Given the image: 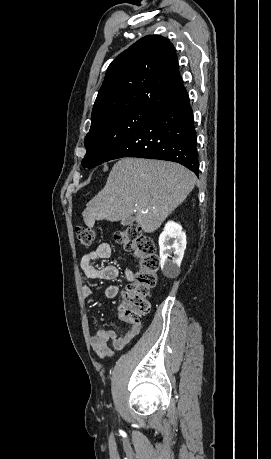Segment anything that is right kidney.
Returning a JSON list of instances; mask_svg holds the SVG:
<instances>
[{
    "mask_svg": "<svg viewBox=\"0 0 271 459\" xmlns=\"http://www.w3.org/2000/svg\"><path fill=\"white\" fill-rule=\"evenodd\" d=\"M182 229L180 224L168 222L159 235L160 265L166 277H177L180 273V263L186 247V233Z\"/></svg>",
    "mask_w": 271,
    "mask_h": 459,
    "instance_id": "1",
    "label": "right kidney"
}]
</instances>
